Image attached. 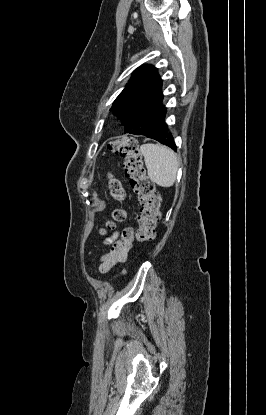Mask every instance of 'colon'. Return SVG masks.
<instances>
[{
	"label": "colon",
	"mask_w": 266,
	"mask_h": 415,
	"mask_svg": "<svg viewBox=\"0 0 266 415\" xmlns=\"http://www.w3.org/2000/svg\"><path fill=\"white\" fill-rule=\"evenodd\" d=\"M108 149L125 159V175L140 204L136 237L142 242L151 241L155 237V228L160 219V194L147 174L138 143L131 137H123L111 142ZM108 186L110 194L115 200L122 202L125 199V190L118 179L110 176ZM125 216L123 209H114L112 212L113 221L109 222L107 226L110 228L113 226V222L123 221Z\"/></svg>",
	"instance_id": "obj_1"
}]
</instances>
